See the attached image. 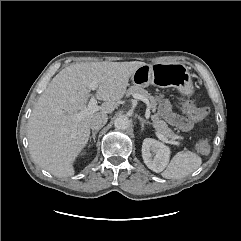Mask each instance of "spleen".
Here are the masks:
<instances>
[{"label":"spleen","mask_w":241,"mask_h":241,"mask_svg":"<svg viewBox=\"0 0 241 241\" xmlns=\"http://www.w3.org/2000/svg\"><path fill=\"white\" fill-rule=\"evenodd\" d=\"M202 164V159L196 153L186 151L173 156L162 177L166 179H181L197 170Z\"/></svg>","instance_id":"1"}]
</instances>
